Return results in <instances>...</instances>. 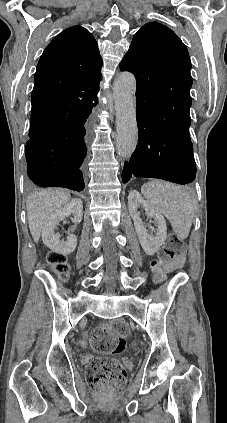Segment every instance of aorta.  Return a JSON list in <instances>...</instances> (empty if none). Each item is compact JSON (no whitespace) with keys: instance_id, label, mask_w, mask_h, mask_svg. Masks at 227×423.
<instances>
[{"instance_id":"762f6f07","label":"aorta","mask_w":227,"mask_h":423,"mask_svg":"<svg viewBox=\"0 0 227 423\" xmlns=\"http://www.w3.org/2000/svg\"><path fill=\"white\" fill-rule=\"evenodd\" d=\"M135 89L136 79L130 72L119 74L113 86L117 127L116 148L122 158H129L137 145Z\"/></svg>"}]
</instances>
